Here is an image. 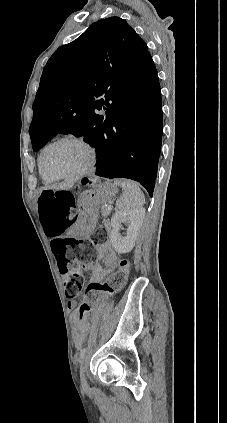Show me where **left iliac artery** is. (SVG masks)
<instances>
[{
    "instance_id": "obj_1",
    "label": "left iliac artery",
    "mask_w": 227,
    "mask_h": 423,
    "mask_svg": "<svg viewBox=\"0 0 227 423\" xmlns=\"http://www.w3.org/2000/svg\"><path fill=\"white\" fill-rule=\"evenodd\" d=\"M86 351H87L86 348L81 349L80 355H79V362L80 363L82 362L83 358L85 357Z\"/></svg>"
}]
</instances>
